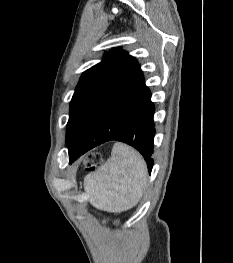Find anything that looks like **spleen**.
Masks as SVG:
<instances>
[{"label":"spleen","mask_w":233,"mask_h":263,"mask_svg":"<svg viewBox=\"0 0 233 263\" xmlns=\"http://www.w3.org/2000/svg\"><path fill=\"white\" fill-rule=\"evenodd\" d=\"M146 184L143 157L130 146L117 142L107 162L85 177L84 190L95 208L119 213L138 204Z\"/></svg>","instance_id":"spleen-1"}]
</instances>
